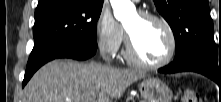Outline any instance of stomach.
Listing matches in <instances>:
<instances>
[{
	"label": "stomach",
	"instance_id": "stomach-1",
	"mask_svg": "<svg viewBox=\"0 0 221 102\" xmlns=\"http://www.w3.org/2000/svg\"><path fill=\"white\" fill-rule=\"evenodd\" d=\"M141 96L145 102H172L173 93L170 88L157 78H148L139 85Z\"/></svg>",
	"mask_w": 221,
	"mask_h": 102
}]
</instances>
